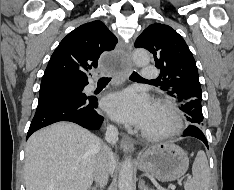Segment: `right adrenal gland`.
I'll list each match as a JSON object with an SVG mask.
<instances>
[{
  "label": "right adrenal gland",
  "instance_id": "1",
  "mask_svg": "<svg viewBox=\"0 0 234 190\" xmlns=\"http://www.w3.org/2000/svg\"><path fill=\"white\" fill-rule=\"evenodd\" d=\"M89 190H98L97 186L89 188Z\"/></svg>",
  "mask_w": 234,
  "mask_h": 190
}]
</instances>
